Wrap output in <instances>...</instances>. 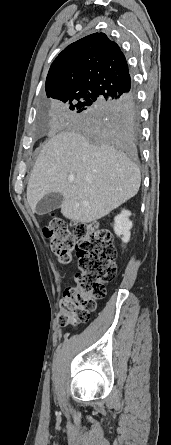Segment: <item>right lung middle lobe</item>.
<instances>
[{"label":"right lung middle lobe","instance_id":"dd1d6c3e","mask_svg":"<svg viewBox=\"0 0 171 445\" xmlns=\"http://www.w3.org/2000/svg\"><path fill=\"white\" fill-rule=\"evenodd\" d=\"M104 99L92 91L65 92L56 98V100L69 105V109L73 111L70 115L71 120L84 126L94 125L95 113L104 103ZM89 135L93 139H97V134L94 131L89 132Z\"/></svg>","mask_w":171,"mask_h":445}]
</instances>
